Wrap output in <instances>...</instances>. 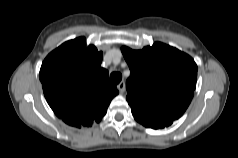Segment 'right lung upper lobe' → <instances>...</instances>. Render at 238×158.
Wrapping results in <instances>:
<instances>
[{"label":"right lung upper lobe","mask_w":238,"mask_h":158,"mask_svg":"<svg viewBox=\"0 0 238 158\" xmlns=\"http://www.w3.org/2000/svg\"><path fill=\"white\" fill-rule=\"evenodd\" d=\"M85 44L84 37L63 43L45 58L39 73L51 109L79 128L99 122L118 94L108 71L101 67L102 52Z\"/></svg>","instance_id":"cb5924a9"}]
</instances>
